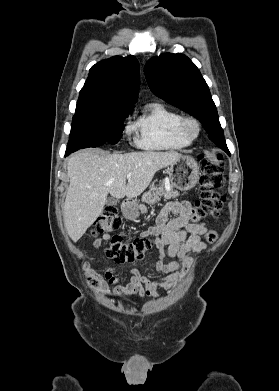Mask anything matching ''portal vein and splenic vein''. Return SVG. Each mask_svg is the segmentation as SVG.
Masks as SVG:
<instances>
[{
    "mask_svg": "<svg viewBox=\"0 0 279 391\" xmlns=\"http://www.w3.org/2000/svg\"><path fill=\"white\" fill-rule=\"evenodd\" d=\"M131 177V173L127 174V179H129Z\"/></svg>",
    "mask_w": 279,
    "mask_h": 391,
    "instance_id": "18ae733b",
    "label": "portal vein and splenic vein"
}]
</instances>
